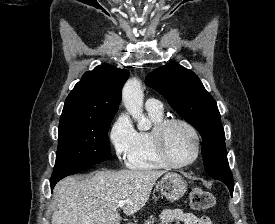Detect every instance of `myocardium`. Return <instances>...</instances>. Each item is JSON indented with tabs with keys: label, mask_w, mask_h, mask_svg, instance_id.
<instances>
[{
	"label": "myocardium",
	"mask_w": 275,
	"mask_h": 224,
	"mask_svg": "<svg viewBox=\"0 0 275 224\" xmlns=\"http://www.w3.org/2000/svg\"><path fill=\"white\" fill-rule=\"evenodd\" d=\"M173 124H181L185 126L193 135L194 142H195V152L193 157L184 163H176L174 162L168 155L166 151V146H165V134L167 129L173 125ZM150 141L152 148L154 150V153L157 157V159L166 167L170 168H176V169H181V168H186L193 163L197 161V159L200 156L201 153V140H200V135L198 130L195 128L193 124H191L189 121L178 118V117H171V118H166L163 119L161 122L156 124L150 134Z\"/></svg>",
	"instance_id": "f54148a6"
}]
</instances>
